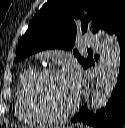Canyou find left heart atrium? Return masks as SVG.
<instances>
[{"label":"left heart atrium","mask_w":125,"mask_h":128,"mask_svg":"<svg viewBox=\"0 0 125 128\" xmlns=\"http://www.w3.org/2000/svg\"><path fill=\"white\" fill-rule=\"evenodd\" d=\"M66 76L71 88L77 94L81 86V79H80L79 72L76 69H73Z\"/></svg>","instance_id":"1"}]
</instances>
